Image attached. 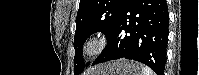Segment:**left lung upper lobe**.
Masks as SVG:
<instances>
[{"label": "left lung upper lobe", "mask_w": 199, "mask_h": 75, "mask_svg": "<svg viewBox=\"0 0 199 75\" xmlns=\"http://www.w3.org/2000/svg\"><path fill=\"white\" fill-rule=\"evenodd\" d=\"M128 0H80L74 36V75L85 67L82 47L95 32H102L108 39L113 33L119 15Z\"/></svg>", "instance_id": "1"}]
</instances>
